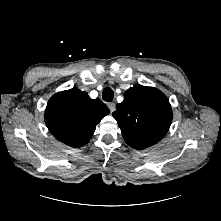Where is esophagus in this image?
I'll return each instance as SVG.
<instances>
[{
  "instance_id": "34e87169",
  "label": "esophagus",
  "mask_w": 221,
  "mask_h": 221,
  "mask_svg": "<svg viewBox=\"0 0 221 221\" xmlns=\"http://www.w3.org/2000/svg\"><path fill=\"white\" fill-rule=\"evenodd\" d=\"M108 108L110 109L111 112H114L115 111V103H113V102L108 103Z\"/></svg>"
}]
</instances>
